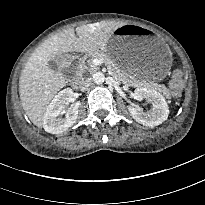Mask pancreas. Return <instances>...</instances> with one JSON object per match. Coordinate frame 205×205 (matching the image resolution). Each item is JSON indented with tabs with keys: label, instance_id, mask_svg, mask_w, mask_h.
<instances>
[{
	"label": "pancreas",
	"instance_id": "pancreas-1",
	"mask_svg": "<svg viewBox=\"0 0 205 205\" xmlns=\"http://www.w3.org/2000/svg\"><path fill=\"white\" fill-rule=\"evenodd\" d=\"M96 58L99 59L102 63H104L108 70L111 72L114 79H116L119 82H122L123 84L129 85V86H142L144 85L141 82H138L134 80L130 75L120 70L117 65L105 54L101 52H90L82 59V65L84 69H87L91 72H95L98 67L95 66L92 62V60ZM153 89H159L160 87L158 85H146Z\"/></svg>",
	"mask_w": 205,
	"mask_h": 205
}]
</instances>
